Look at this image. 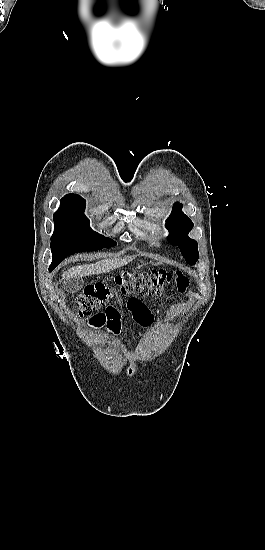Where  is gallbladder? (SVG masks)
<instances>
[{
	"instance_id": "bac80fb5",
	"label": "gallbladder",
	"mask_w": 265,
	"mask_h": 550,
	"mask_svg": "<svg viewBox=\"0 0 265 550\" xmlns=\"http://www.w3.org/2000/svg\"><path fill=\"white\" fill-rule=\"evenodd\" d=\"M66 290L70 293H76L83 287V281L80 278H73L65 282Z\"/></svg>"
}]
</instances>
